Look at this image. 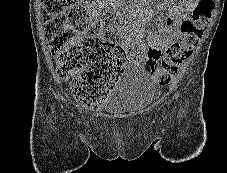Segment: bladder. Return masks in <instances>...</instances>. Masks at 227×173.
<instances>
[{
    "label": "bladder",
    "instance_id": "1",
    "mask_svg": "<svg viewBox=\"0 0 227 173\" xmlns=\"http://www.w3.org/2000/svg\"><path fill=\"white\" fill-rule=\"evenodd\" d=\"M153 90L147 70L139 64H130L102 102L101 109L112 114L135 112L152 96Z\"/></svg>",
    "mask_w": 227,
    "mask_h": 173
}]
</instances>
